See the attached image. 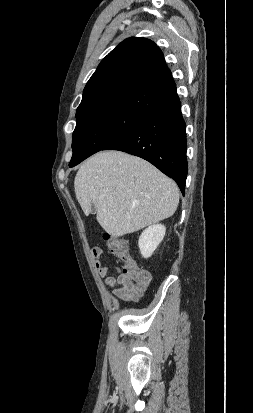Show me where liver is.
<instances>
[{
  "label": "liver",
  "instance_id": "1",
  "mask_svg": "<svg viewBox=\"0 0 253 413\" xmlns=\"http://www.w3.org/2000/svg\"><path fill=\"white\" fill-rule=\"evenodd\" d=\"M74 188L86 216L94 205L100 226L114 237L172 216L179 203L176 183L149 162L120 151H103L78 170Z\"/></svg>",
  "mask_w": 253,
  "mask_h": 413
}]
</instances>
